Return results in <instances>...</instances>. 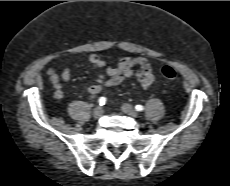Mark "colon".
Returning a JSON list of instances; mask_svg holds the SVG:
<instances>
[{"label": "colon", "instance_id": "colon-1", "mask_svg": "<svg viewBox=\"0 0 230 186\" xmlns=\"http://www.w3.org/2000/svg\"><path fill=\"white\" fill-rule=\"evenodd\" d=\"M162 75L169 80H173L176 78V71L170 66H164L161 70Z\"/></svg>", "mask_w": 230, "mask_h": 186}]
</instances>
